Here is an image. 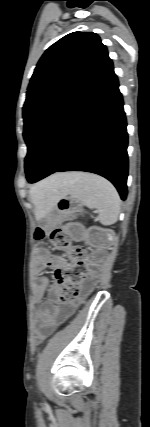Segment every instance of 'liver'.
Listing matches in <instances>:
<instances>
[{"mask_svg": "<svg viewBox=\"0 0 150 427\" xmlns=\"http://www.w3.org/2000/svg\"><path fill=\"white\" fill-rule=\"evenodd\" d=\"M69 174H56L39 182L31 188L30 195L35 206L36 217H40L45 213L63 193L64 182ZM57 191V194L50 192V190Z\"/></svg>", "mask_w": 150, "mask_h": 427, "instance_id": "liver-1", "label": "liver"}]
</instances>
